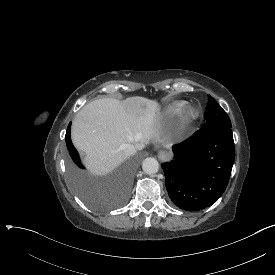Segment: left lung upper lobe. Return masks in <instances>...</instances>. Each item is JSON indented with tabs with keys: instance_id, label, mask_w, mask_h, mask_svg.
I'll return each mask as SVG.
<instances>
[{
	"instance_id": "obj_1",
	"label": "left lung upper lobe",
	"mask_w": 275,
	"mask_h": 275,
	"mask_svg": "<svg viewBox=\"0 0 275 275\" xmlns=\"http://www.w3.org/2000/svg\"><path fill=\"white\" fill-rule=\"evenodd\" d=\"M204 118L206 119V126L216 124H225L231 126V121L228 115L210 95H208V103Z\"/></svg>"
}]
</instances>
